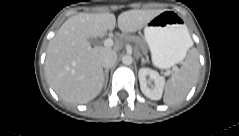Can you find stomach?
Listing matches in <instances>:
<instances>
[{"label": "stomach", "mask_w": 239, "mask_h": 136, "mask_svg": "<svg viewBox=\"0 0 239 136\" xmlns=\"http://www.w3.org/2000/svg\"><path fill=\"white\" fill-rule=\"evenodd\" d=\"M188 28L174 11H163L144 27V37L154 65L167 69L181 62L190 48Z\"/></svg>", "instance_id": "0dacf381"}]
</instances>
